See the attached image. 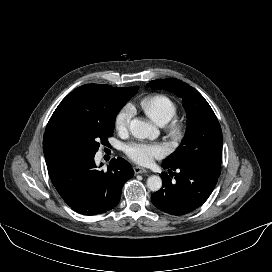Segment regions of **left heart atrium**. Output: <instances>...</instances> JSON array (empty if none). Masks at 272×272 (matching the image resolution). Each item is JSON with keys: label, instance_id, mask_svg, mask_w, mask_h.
I'll use <instances>...</instances> for the list:
<instances>
[{"label": "left heart atrium", "instance_id": "obj_1", "mask_svg": "<svg viewBox=\"0 0 272 272\" xmlns=\"http://www.w3.org/2000/svg\"><path fill=\"white\" fill-rule=\"evenodd\" d=\"M125 153L134 162L147 165L154 159L161 158L164 155V149L154 143L133 142L125 146Z\"/></svg>", "mask_w": 272, "mask_h": 272}]
</instances>
